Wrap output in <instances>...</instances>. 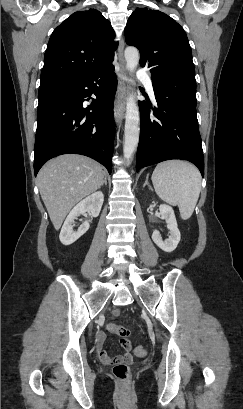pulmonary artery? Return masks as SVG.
Masks as SVG:
<instances>
[{
	"label": "pulmonary artery",
	"instance_id": "obj_1",
	"mask_svg": "<svg viewBox=\"0 0 243 409\" xmlns=\"http://www.w3.org/2000/svg\"><path fill=\"white\" fill-rule=\"evenodd\" d=\"M137 77H138L139 80H141L145 84L149 94H151L153 96L154 95V90H153L152 80H151L150 75L148 73L144 72V71H138L137 72Z\"/></svg>",
	"mask_w": 243,
	"mask_h": 409
}]
</instances>
